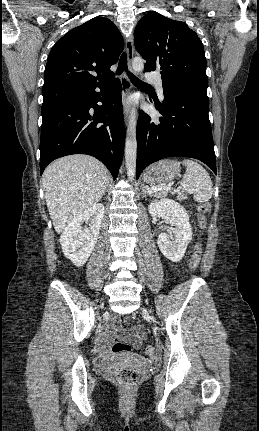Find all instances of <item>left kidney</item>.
Instances as JSON below:
<instances>
[{
	"instance_id": "obj_1",
	"label": "left kidney",
	"mask_w": 259,
	"mask_h": 431,
	"mask_svg": "<svg viewBox=\"0 0 259 431\" xmlns=\"http://www.w3.org/2000/svg\"><path fill=\"white\" fill-rule=\"evenodd\" d=\"M152 216L161 217L171 222L175 228L172 234L160 233L158 246L162 254L173 262L180 261L192 239V227L184 207L171 199L155 200L148 206Z\"/></svg>"
}]
</instances>
